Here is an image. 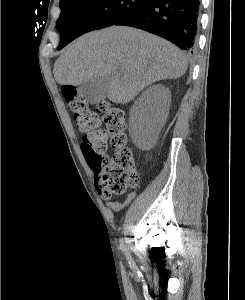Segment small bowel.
I'll return each mask as SVG.
<instances>
[{"instance_id": "c3829d8e", "label": "small bowel", "mask_w": 245, "mask_h": 300, "mask_svg": "<svg viewBox=\"0 0 245 300\" xmlns=\"http://www.w3.org/2000/svg\"><path fill=\"white\" fill-rule=\"evenodd\" d=\"M135 195L136 193L132 191L127 194L126 198L122 202L111 201L108 203V206L114 211H120L134 199Z\"/></svg>"}]
</instances>
